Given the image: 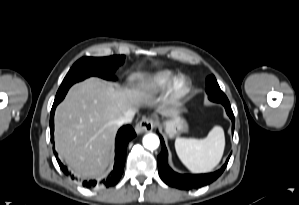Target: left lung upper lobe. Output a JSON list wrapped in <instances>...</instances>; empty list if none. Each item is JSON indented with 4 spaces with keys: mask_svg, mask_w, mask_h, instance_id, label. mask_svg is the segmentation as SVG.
<instances>
[{
    "mask_svg": "<svg viewBox=\"0 0 299 205\" xmlns=\"http://www.w3.org/2000/svg\"><path fill=\"white\" fill-rule=\"evenodd\" d=\"M206 92L211 101L219 102L222 100H227L226 95L221 91L216 78L211 75L206 79Z\"/></svg>",
    "mask_w": 299,
    "mask_h": 205,
    "instance_id": "obj_1",
    "label": "left lung upper lobe"
}]
</instances>
